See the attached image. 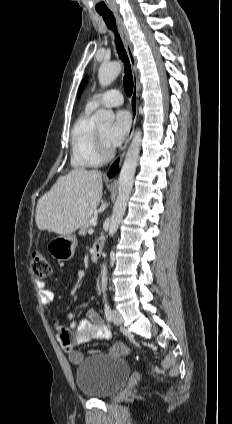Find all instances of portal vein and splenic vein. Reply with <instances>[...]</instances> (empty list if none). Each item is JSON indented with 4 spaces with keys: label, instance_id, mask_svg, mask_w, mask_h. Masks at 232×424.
<instances>
[{
    "label": "portal vein and splenic vein",
    "instance_id": "obj_1",
    "mask_svg": "<svg viewBox=\"0 0 232 424\" xmlns=\"http://www.w3.org/2000/svg\"><path fill=\"white\" fill-rule=\"evenodd\" d=\"M91 225H96L97 224V219L96 218H92L90 220Z\"/></svg>",
    "mask_w": 232,
    "mask_h": 424
}]
</instances>
